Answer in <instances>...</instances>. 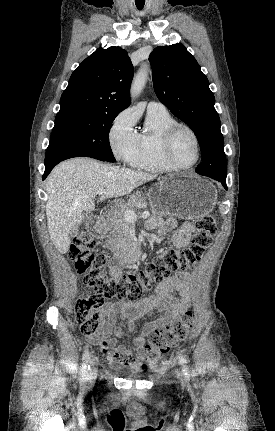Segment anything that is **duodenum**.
<instances>
[{"instance_id": "410a0bca", "label": "duodenum", "mask_w": 275, "mask_h": 431, "mask_svg": "<svg viewBox=\"0 0 275 431\" xmlns=\"http://www.w3.org/2000/svg\"><path fill=\"white\" fill-rule=\"evenodd\" d=\"M104 227L105 219L102 217L98 218L92 230L94 236L101 237L104 232ZM141 253L142 251L139 243L136 241H130L120 248L118 251V257L122 262L131 264L139 260Z\"/></svg>"}]
</instances>
